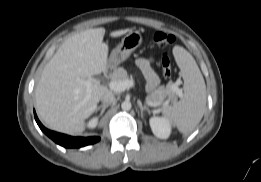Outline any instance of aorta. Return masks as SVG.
Instances as JSON below:
<instances>
[{"instance_id": "1", "label": "aorta", "mask_w": 261, "mask_h": 182, "mask_svg": "<svg viewBox=\"0 0 261 182\" xmlns=\"http://www.w3.org/2000/svg\"><path fill=\"white\" fill-rule=\"evenodd\" d=\"M131 107H132V105H131V102L130 101H124V102H122V104H121V108H122V110H124V111H129L130 109H131Z\"/></svg>"}]
</instances>
